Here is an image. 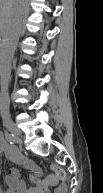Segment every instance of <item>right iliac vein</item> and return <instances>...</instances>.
Instances as JSON below:
<instances>
[{
  "label": "right iliac vein",
  "instance_id": "63e3f726",
  "mask_svg": "<svg viewBox=\"0 0 103 193\" xmlns=\"http://www.w3.org/2000/svg\"><path fill=\"white\" fill-rule=\"evenodd\" d=\"M5 126L8 129V131L13 133L16 137L21 136L20 130L15 126V124L13 122L7 121V122H5Z\"/></svg>",
  "mask_w": 103,
  "mask_h": 193
}]
</instances>
